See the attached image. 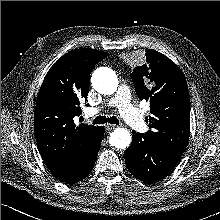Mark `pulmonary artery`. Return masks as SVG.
<instances>
[{
	"mask_svg": "<svg viewBox=\"0 0 220 220\" xmlns=\"http://www.w3.org/2000/svg\"><path fill=\"white\" fill-rule=\"evenodd\" d=\"M108 106L118 107L122 117L135 130L145 131L147 124L141 111L131 104V97L129 88L125 84H121L116 93L107 101ZM101 107H94L90 109L92 114H97L102 110Z\"/></svg>",
	"mask_w": 220,
	"mask_h": 220,
	"instance_id": "pulmonary-artery-1",
	"label": "pulmonary artery"
}]
</instances>
